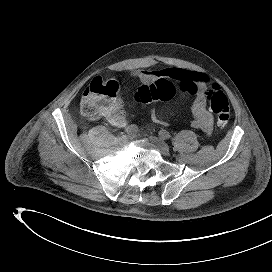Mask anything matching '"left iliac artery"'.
Returning a JSON list of instances; mask_svg holds the SVG:
<instances>
[{"mask_svg": "<svg viewBox=\"0 0 272 272\" xmlns=\"http://www.w3.org/2000/svg\"><path fill=\"white\" fill-rule=\"evenodd\" d=\"M159 136L163 140H167V139H169L171 137L170 133L168 131H166V130H161L159 132Z\"/></svg>", "mask_w": 272, "mask_h": 272, "instance_id": "obj_1", "label": "left iliac artery"}]
</instances>
